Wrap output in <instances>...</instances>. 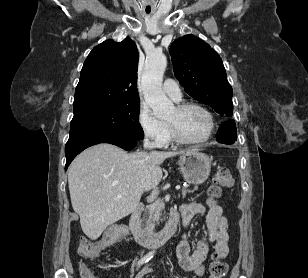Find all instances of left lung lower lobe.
<instances>
[{"instance_id": "1", "label": "left lung lower lobe", "mask_w": 308, "mask_h": 278, "mask_svg": "<svg viewBox=\"0 0 308 278\" xmlns=\"http://www.w3.org/2000/svg\"><path fill=\"white\" fill-rule=\"evenodd\" d=\"M218 142L232 144L237 139V130L234 121L223 123L217 132Z\"/></svg>"}]
</instances>
